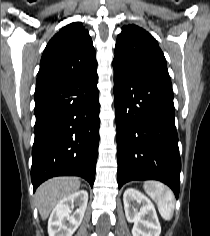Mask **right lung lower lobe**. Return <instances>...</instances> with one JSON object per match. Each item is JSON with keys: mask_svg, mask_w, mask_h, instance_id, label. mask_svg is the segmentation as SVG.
<instances>
[{"mask_svg": "<svg viewBox=\"0 0 210 236\" xmlns=\"http://www.w3.org/2000/svg\"><path fill=\"white\" fill-rule=\"evenodd\" d=\"M96 70L35 93L34 191L60 175L80 176L93 186L100 124Z\"/></svg>", "mask_w": 210, "mask_h": 236, "instance_id": "right-lung-lower-lobe-1", "label": "right lung lower lobe"}]
</instances>
